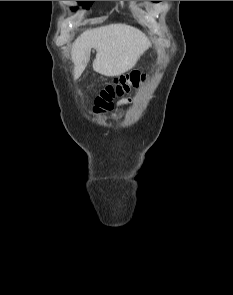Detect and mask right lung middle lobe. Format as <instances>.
Here are the masks:
<instances>
[{"label": "right lung middle lobe", "mask_w": 233, "mask_h": 295, "mask_svg": "<svg viewBox=\"0 0 233 295\" xmlns=\"http://www.w3.org/2000/svg\"><path fill=\"white\" fill-rule=\"evenodd\" d=\"M84 8L89 9L94 1H78Z\"/></svg>", "instance_id": "dd1d6c3e"}]
</instances>
